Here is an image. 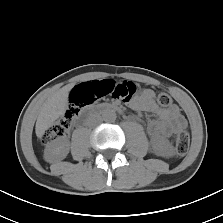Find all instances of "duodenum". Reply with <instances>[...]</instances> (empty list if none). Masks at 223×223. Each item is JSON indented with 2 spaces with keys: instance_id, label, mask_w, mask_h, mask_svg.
<instances>
[{
  "instance_id": "1",
  "label": "duodenum",
  "mask_w": 223,
  "mask_h": 223,
  "mask_svg": "<svg viewBox=\"0 0 223 223\" xmlns=\"http://www.w3.org/2000/svg\"><path fill=\"white\" fill-rule=\"evenodd\" d=\"M102 111H118L121 112L122 109L116 104H101L87 111L88 114H95ZM87 120V116L82 117L78 120L77 124L81 125Z\"/></svg>"
}]
</instances>
